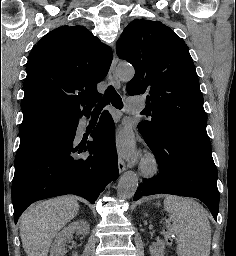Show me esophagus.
<instances>
[{"instance_id":"1","label":"esophagus","mask_w":236,"mask_h":256,"mask_svg":"<svg viewBox=\"0 0 236 256\" xmlns=\"http://www.w3.org/2000/svg\"><path fill=\"white\" fill-rule=\"evenodd\" d=\"M116 65H117V59L114 56L111 67H110V70H109V73H108V76H109V79L115 85L116 88H121V83H120V80H119V78L116 74V70H115ZM125 167H126L125 162L123 161V159L121 157H119L118 158L119 172L122 173L125 170Z\"/></svg>"}]
</instances>
